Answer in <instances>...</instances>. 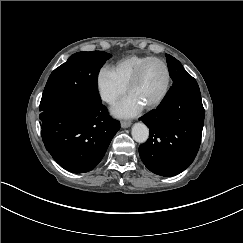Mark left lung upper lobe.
<instances>
[{
  "label": "left lung upper lobe",
  "mask_w": 243,
  "mask_h": 243,
  "mask_svg": "<svg viewBox=\"0 0 243 243\" xmlns=\"http://www.w3.org/2000/svg\"><path fill=\"white\" fill-rule=\"evenodd\" d=\"M165 56L167 58L169 73L173 80V85L167 93V96L179 89H199L196 80L186 72L177 59L168 54H165Z\"/></svg>",
  "instance_id": "obj_1"
}]
</instances>
